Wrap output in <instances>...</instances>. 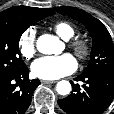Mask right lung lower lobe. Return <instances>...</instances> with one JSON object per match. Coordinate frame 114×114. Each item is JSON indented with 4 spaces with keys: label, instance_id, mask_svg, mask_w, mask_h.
Listing matches in <instances>:
<instances>
[{
    "label": "right lung lower lobe",
    "instance_id": "obj_1",
    "mask_svg": "<svg viewBox=\"0 0 114 114\" xmlns=\"http://www.w3.org/2000/svg\"><path fill=\"white\" fill-rule=\"evenodd\" d=\"M27 67L11 75H0V114H24L31 104L39 80L28 79Z\"/></svg>",
    "mask_w": 114,
    "mask_h": 114
}]
</instances>
